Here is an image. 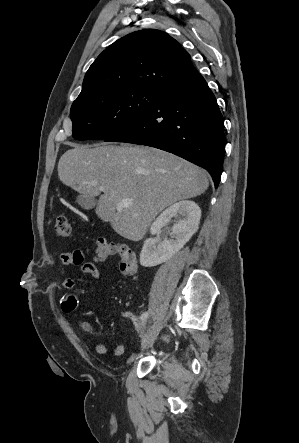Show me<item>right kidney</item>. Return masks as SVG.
Listing matches in <instances>:
<instances>
[{
    "instance_id": "ca27d5eb",
    "label": "right kidney",
    "mask_w": 299,
    "mask_h": 443,
    "mask_svg": "<svg viewBox=\"0 0 299 443\" xmlns=\"http://www.w3.org/2000/svg\"><path fill=\"white\" fill-rule=\"evenodd\" d=\"M200 218L199 206L190 200L177 202L165 209L151 225L150 233L159 234L161 228L173 219L172 236L162 240L152 237L146 239L140 254V264L153 267L169 260L198 230Z\"/></svg>"
}]
</instances>
